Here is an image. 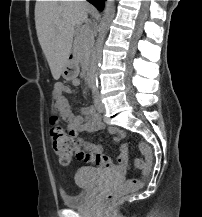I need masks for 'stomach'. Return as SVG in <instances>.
I'll use <instances>...</instances> for the list:
<instances>
[{
    "instance_id": "1",
    "label": "stomach",
    "mask_w": 202,
    "mask_h": 217,
    "mask_svg": "<svg viewBox=\"0 0 202 217\" xmlns=\"http://www.w3.org/2000/svg\"><path fill=\"white\" fill-rule=\"evenodd\" d=\"M61 74L64 79L76 78L79 74L78 63L75 60H68Z\"/></svg>"
}]
</instances>
